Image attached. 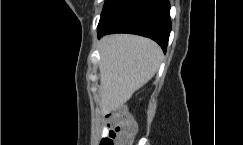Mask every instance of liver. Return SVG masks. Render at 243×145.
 <instances>
[{
    "mask_svg": "<svg viewBox=\"0 0 243 145\" xmlns=\"http://www.w3.org/2000/svg\"><path fill=\"white\" fill-rule=\"evenodd\" d=\"M101 110L121 108L157 72L162 50L154 41L136 35L105 36L99 43Z\"/></svg>",
    "mask_w": 243,
    "mask_h": 145,
    "instance_id": "liver-1",
    "label": "liver"
}]
</instances>
